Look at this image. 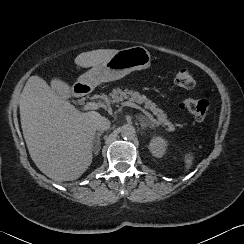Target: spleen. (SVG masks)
<instances>
[{
	"instance_id": "1",
	"label": "spleen",
	"mask_w": 244,
	"mask_h": 244,
	"mask_svg": "<svg viewBox=\"0 0 244 244\" xmlns=\"http://www.w3.org/2000/svg\"><path fill=\"white\" fill-rule=\"evenodd\" d=\"M193 160H194V153L191 150L184 153L183 161L185 163L186 170L191 168V166L193 164Z\"/></svg>"
}]
</instances>
